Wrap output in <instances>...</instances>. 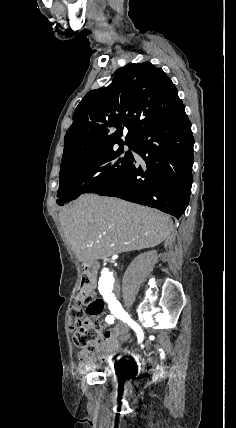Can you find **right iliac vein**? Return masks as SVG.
<instances>
[{"mask_svg": "<svg viewBox=\"0 0 236 428\" xmlns=\"http://www.w3.org/2000/svg\"><path fill=\"white\" fill-rule=\"evenodd\" d=\"M127 334L130 336L132 333L129 331ZM127 334H124V335L121 337V339H120L119 341H120V342H123V343H124V342L126 343V342L128 341V340L126 341V339L128 338V335H127ZM128 342H129V341H128Z\"/></svg>", "mask_w": 236, "mask_h": 428, "instance_id": "right-iliac-vein-1", "label": "right iliac vein"}]
</instances>
